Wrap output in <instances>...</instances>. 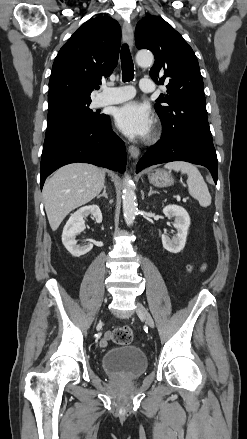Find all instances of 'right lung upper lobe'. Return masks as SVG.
<instances>
[{
	"instance_id": "right-lung-upper-lobe-1",
	"label": "right lung upper lobe",
	"mask_w": 247,
	"mask_h": 439,
	"mask_svg": "<svg viewBox=\"0 0 247 439\" xmlns=\"http://www.w3.org/2000/svg\"><path fill=\"white\" fill-rule=\"evenodd\" d=\"M121 28L110 17L85 22L62 46L49 80V110L74 101H91L90 94L106 80L118 62Z\"/></svg>"
}]
</instances>
